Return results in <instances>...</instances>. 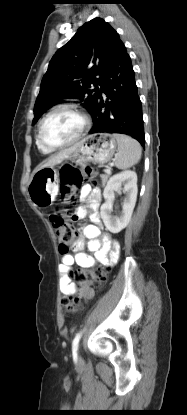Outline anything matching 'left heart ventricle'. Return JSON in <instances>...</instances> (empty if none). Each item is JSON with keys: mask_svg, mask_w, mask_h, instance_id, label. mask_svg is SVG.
<instances>
[{"mask_svg": "<svg viewBox=\"0 0 187 415\" xmlns=\"http://www.w3.org/2000/svg\"><path fill=\"white\" fill-rule=\"evenodd\" d=\"M82 120L71 110H59L49 116L42 127V138L50 145L72 140L79 132Z\"/></svg>", "mask_w": 187, "mask_h": 415, "instance_id": "1", "label": "left heart ventricle"}]
</instances>
